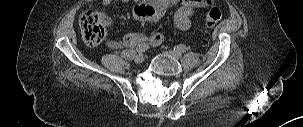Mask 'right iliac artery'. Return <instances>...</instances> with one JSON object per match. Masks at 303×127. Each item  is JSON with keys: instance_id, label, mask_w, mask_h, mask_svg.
Segmentation results:
<instances>
[{"instance_id": "1", "label": "right iliac artery", "mask_w": 303, "mask_h": 127, "mask_svg": "<svg viewBox=\"0 0 303 127\" xmlns=\"http://www.w3.org/2000/svg\"><path fill=\"white\" fill-rule=\"evenodd\" d=\"M148 48H149V46L147 44H141L136 47V52L141 54V53L147 51Z\"/></svg>"}]
</instances>
